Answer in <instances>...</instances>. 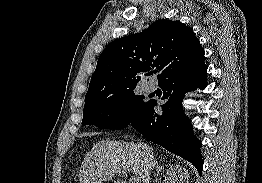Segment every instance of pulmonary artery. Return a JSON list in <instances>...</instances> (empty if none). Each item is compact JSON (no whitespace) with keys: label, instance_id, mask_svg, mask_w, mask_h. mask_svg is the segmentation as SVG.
Masks as SVG:
<instances>
[{"label":"pulmonary artery","instance_id":"e3ab8cb5","mask_svg":"<svg viewBox=\"0 0 262 183\" xmlns=\"http://www.w3.org/2000/svg\"><path fill=\"white\" fill-rule=\"evenodd\" d=\"M154 89H155V86H154V84H147L146 86H145V90L147 91V92H152V91H154Z\"/></svg>","mask_w":262,"mask_h":183}]
</instances>
